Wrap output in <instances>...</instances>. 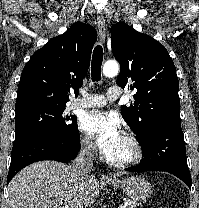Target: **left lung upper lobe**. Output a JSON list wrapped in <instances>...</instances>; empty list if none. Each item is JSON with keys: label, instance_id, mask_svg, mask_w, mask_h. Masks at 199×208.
<instances>
[{"label": "left lung upper lobe", "instance_id": "1", "mask_svg": "<svg viewBox=\"0 0 199 208\" xmlns=\"http://www.w3.org/2000/svg\"><path fill=\"white\" fill-rule=\"evenodd\" d=\"M111 46L121 65L116 83L136 91L122 116L142 144L154 127L181 121L176 68L163 45L125 23L111 27Z\"/></svg>", "mask_w": 199, "mask_h": 208}]
</instances>
